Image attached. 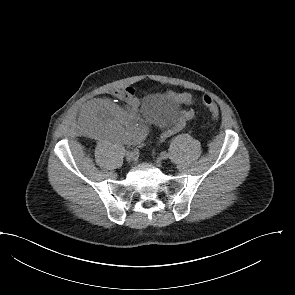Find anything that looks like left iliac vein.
Returning <instances> with one entry per match:
<instances>
[{
    "mask_svg": "<svg viewBox=\"0 0 295 295\" xmlns=\"http://www.w3.org/2000/svg\"><path fill=\"white\" fill-rule=\"evenodd\" d=\"M167 158H168V154H167L166 158H163L162 156L159 157V158H157V159H156V164H157L158 166H161L163 160H164V159H167Z\"/></svg>",
    "mask_w": 295,
    "mask_h": 295,
    "instance_id": "1",
    "label": "left iliac vein"
}]
</instances>
